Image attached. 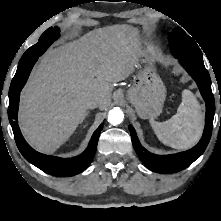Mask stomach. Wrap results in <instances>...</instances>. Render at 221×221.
<instances>
[{"label": "stomach", "instance_id": "obj_1", "mask_svg": "<svg viewBox=\"0 0 221 221\" xmlns=\"http://www.w3.org/2000/svg\"><path fill=\"white\" fill-rule=\"evenodd\" d=\"M155 54L144 53L145 64L134 78L133 85L127 91V100L143 118H155L161 114L166 99V88L156 73Z\"/></svg>", "mask_w": 221, "mask_h": 221}]
</instances>
